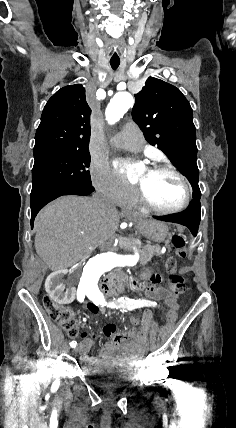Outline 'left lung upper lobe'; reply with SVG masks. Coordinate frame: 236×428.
I'll return each instance as SVG.
<instances>
[{
  "label": "left lung upper lobe",
  "instance_id": "5c2ea615",
  "mask_svg": "<svg viewBox=\"0 0 236 428\" xmlns=\"http://www.w3.org/2000/svg\"><path fill=\"white\" fill-rule=\"evenodd\" d=\"M132 118L145 139L162 150L172 164L187 177L193 193L199 192L196 163V130L192 108L175 86L149 77L135 95Z\"/></svg>",
  "mask_w": 236,
  "mask_h": 428
}]
</instances>
